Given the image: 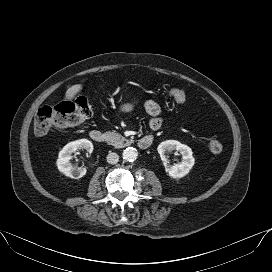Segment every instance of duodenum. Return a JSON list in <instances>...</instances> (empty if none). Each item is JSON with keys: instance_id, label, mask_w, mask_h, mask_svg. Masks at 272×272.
Returning a JSON list of instances; mask_svg holds the SVG:
<instances>
[{"instance_id": "duodenum-1", "label": "duodenum", "mask_w": 272, "mask_h": 272, "mask_svg": "<svg viewBox=\"0 0 272 272\" xmlns=\"http://www.w3.org/2000/svg\"><path fill=\"white\" fill-rule=\"evenodd\" d=\"M90 137L93 141L100 144H103L106 142V135L100 129H92L90 131ZM152 143H153V137L151 135H147L139 139L138 146L141 149H147L152 145Z\"/></svg>"}]
</instances>
